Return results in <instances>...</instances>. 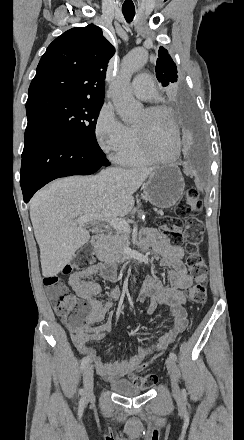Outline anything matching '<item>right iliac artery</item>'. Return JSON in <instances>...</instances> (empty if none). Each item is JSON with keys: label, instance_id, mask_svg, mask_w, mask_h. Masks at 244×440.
Listing matches in <instances>:
<instances>
[{"label": "right iliac artery", "instance_id": "right-iliac-artery-1", "mask_svg": "<svg viewBox=\"0 0 244 440\" xmlns=\"http://www.w3.org/2000/svg\"><path fill=\"white\" fill-rule=\"evenodd\" d=\"M88 362H89V356H85L81 361V367H80L81 371H83L86 368ZM82 391L83 390L80 389V393H82ZM83 405H84V398H81L80 406H83Z\"/></svg>", "mask_w": 244, "mask_h": 440}]
</instances>
